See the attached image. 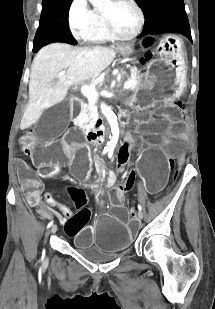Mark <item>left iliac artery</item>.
<instances>
[{"mask_svg": "<svg viewBox=\"0 0 215 309\" xmlns=\"http://www.w3.org/2000/svg\"><path fill=\"white\" fill-rule=\"evenodd\" d=\"M111 157H112V154L110 153L109 158H111ZM138 210H139V214H143V210H142V207H141L140 204L138 205Z\"/></svg>", "mask_w": 215, "mask_h": 309, "instance_id": "obj_1", "label": "left iliac artery"}]
</instances>
